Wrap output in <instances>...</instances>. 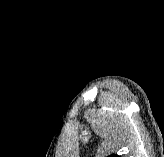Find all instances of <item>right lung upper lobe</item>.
<instances>
[{
	"mask_svg": "<svg viewBox=\"0 0 164 157\" xmlns=\"http://www.w3.org/2000/svg\"><path fill=\"white\" fill-rule=\"evenodd\" d=\"M107 157H120L118 155H110V156H107Z\"/></svg>",
	"mask_w": 164,
	"mask_h": 157,
	"instance_id": "cb5924a9",
	"label": "right lung upper lobe"
}]
</instances>
